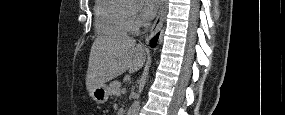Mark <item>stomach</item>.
<instances>
[{"label": "stomach", "instance_id": "stomach-1", "mask_svg": "<svg viewBox=\"0 0 285 115\" xmlns=\"http://www.w3.org/2000/svg\"><path fill=\"white\" fill-rule=\"evenodd\" d=\"M89 96L97 103L104 104L109 98V88L106 84L89 91Z\"/></svg>", "mask_w": 285, "mask_h": 115}]
</instances>
